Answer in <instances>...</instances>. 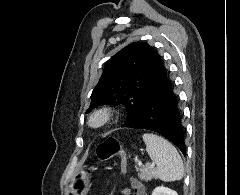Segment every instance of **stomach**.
<instances>
[{
  "label": "stomach",
  "instance_id": "0dacf381",
  "mask_svg": "<svg viewBox=\"0 0 240 195\" xmlns=\"http://www.w3.org/2000/svg\"><path fill=\"white\" fill-rule=\"evenodd\" d=\"M81 171H82V169H79V171H77V173L73 179V185H76V183H78V185H80L77 195H86V193L88 191L89 179H84V181H82V179H80Z\"/></svg>",
  "mask_w": 240,
  "mask_h": 195
}]
</instances>
